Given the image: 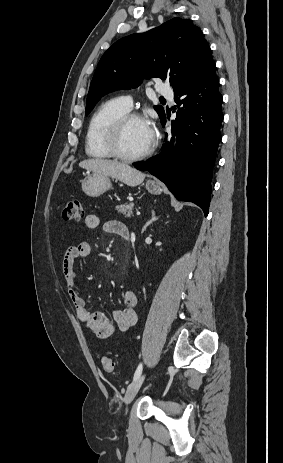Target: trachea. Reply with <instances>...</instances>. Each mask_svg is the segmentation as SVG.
Wrapping results in <instances>:
<instances>
[{"instance_id": "3493384b", "label": "trachea", "mask_w": 283, "mask_h": 463, "mask_svg": "<svg viewBox=\"0 0 283 463\" xmlns=\"http://www.w3.org/2000/svg\"><path fill=\"white\" fill-rule=\"evenodd\" d=\"M161 100H165L164 98H160Z\"/></svg>"}]
</instances>
